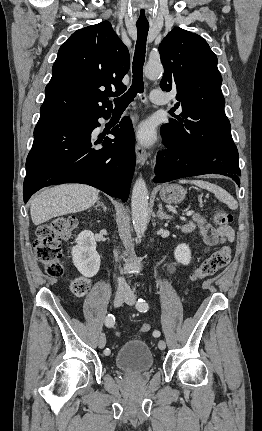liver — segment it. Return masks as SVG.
Instances as JSON below:
<instances>
[{"instance_id": "obj_1", "label": "liver", "mask_w": 262, "mask_h": 431, "mask_svg": "<svg viewBox=\"0 0 262 431\" xmlns=\"http://www.w3.org/2000/svg\"><path fill=\"white\" fill-rule=\"evenodd\" d=\"M99 191L82 184H65L46 189L32 197L30 214L35 225L54 217L84 211L98 201Z\"/></svg>"}]
</instances>
